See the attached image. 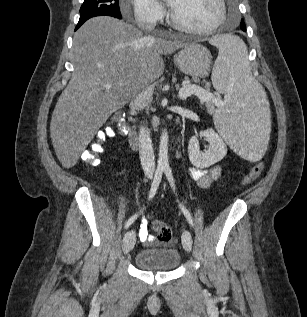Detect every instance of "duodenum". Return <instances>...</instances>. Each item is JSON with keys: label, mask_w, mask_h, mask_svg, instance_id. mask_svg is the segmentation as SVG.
<instances>
[{"label": "duodenum", "mask_w": 307, "mask_h": 317, "mask_svg": "<svg viewBox=\"0 0 307 317\" xmlns=\"http://www.w3.org/2000/svg\"><path fill=\"white\" fill-rule=\"evenodd\" d=\"M126 121V120H124ZM129 124V123H128ZM128 130H129V133H128V137H129V140H130V143L132 145L133 148H137L138 146V143H139V134H138V131L137 129L129 124L128 125Z\"/></svg>", "instance_id": "obj_1"}]
</instances>
